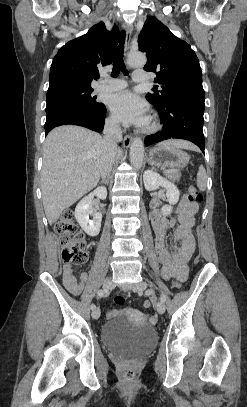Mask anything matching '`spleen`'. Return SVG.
Returning <instances> with one entry per match:
<instances>
[{
	"label": "spleen",
	"mask_w": 247,
	"mask_h": 407,
	"mask_svg": "<svg viewBox=\"0 0 247 407\" xmlns=\"http://www.w3.org/2000/svg\"><path fill=\"white\" fill-rule=\"evenodd\" d=\"M207 184V175L206 170L203 165H200L198 173H197V187L199 190L204 191L206 189Z\"/></svg>",
	"instance_id": "3e777b00"
}]
</instances>
